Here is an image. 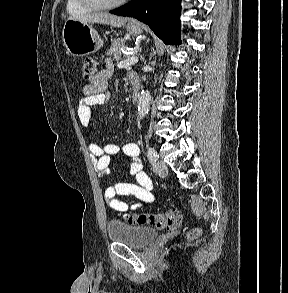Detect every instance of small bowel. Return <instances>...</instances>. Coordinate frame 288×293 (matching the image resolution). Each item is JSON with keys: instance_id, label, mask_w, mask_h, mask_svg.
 <instances>
[{"instance_id": "1", "label": "small bowel", "mask_w": 288, "mask_h": 293, "mask_svg": "<svg viewBox=\"0 0 288 293\" xmlns=\"http://www.w3.org/2000/svg\"><path fill=\"white\" fill-rule=\"evenodd\" d=\"M112 73L113 64L110 60H107L105 68L98 72L91 83L82 88L77 113L80 123L84 127L90 125L93 107L103 105L108 101L110 97L108 81ZM87 147L94 157L96 172L105 183L110 174L109 163L112 155L122 150L130 163L127 173L136 180V183L119 182L112 186L107 185L104 189V198L110 208L119 212H125L128 209L137 210L145 203H150L154 200L152 181L144 172L143 166L138 159L139 147L136 143L130 142L120 147L113 143L99 145L90 141ZM118 195L134 196L137 202L129 206L126 202L117 199L116 196Z\"/></svg>"}]
</instances>
